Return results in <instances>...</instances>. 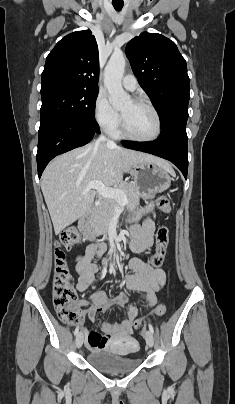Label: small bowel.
<instances>
[{"label": "small bowel", "instance_id": "obj_1", "mask_svg": "<svg viewBox=\"0 0 235 404\" xmlns=\"http://www.w3.org/2000/svg\"><path fill=\"white\" fill-rule=\"evenodd\" d=\"M154 224L150 218L145 219L141 224L131 228V248L136 253L147 251L153 244ZM105 249L102 243H91L84 253L76 258L75 272L77 275V289L84 292L94 281L99 268L92 260ZM129 267L133 274L125 278L126 288L130 291L143 292L146 294V306L153 307L156 304V293L166 284L165 272L160 268H153L138 258L129 261ZM127 296L121 293L115 299H109L105 291H97L91 295L88 301H80L78 304L84 308V314L89 320H94L97 312H106L112 306L126 308L127 319L120 323H104L102 330L106 336L96 331L85 333V343L89 350L99 348H110L112 344L128 343L132 332L133 322L138 316L139 310L135 306L127 304ZM102 338H107V343H101Z\"/></svg>", "mask_w": 235, "mask_h": 404}]
</instances>
